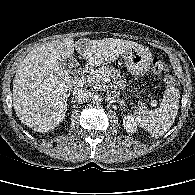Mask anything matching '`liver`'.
Here are the masks:
<instances>
[{
    "instance_id": "obj_1",
    "label": "liver",
    "mask_w": 195,
    "mask_h": 195,
    "mask_svg": "<svg viewBox=\"0 0 195 195\" xmlns=\"http://www.w3.org/2000/svg\"><path fill=\"white\" fill-rule=\"evenodd\" d=\"M138 44L105 38H63L31 50L20 63L13 80V107L19 120L37 132L54 130L65 118L72 81L61 59L76 50L91 66L114 62Z\"/></svg>"
}]
</instances>
